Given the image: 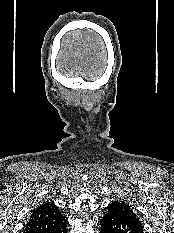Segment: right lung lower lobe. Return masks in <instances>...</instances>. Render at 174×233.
Masks as SVG:
<instances>
[{"instance_id": "right-lung-lower-lobe-1", "label": "right lung lower lobe", "mask_w": 174, "mask_h": 233, "mask_svg": "<svg viewBox=\"0 0 174 233\" xmlns=\"http://www.w3.org/2000/svg\"><path fill=\"white\" fill-rule=\"evenodd\" d=\"M67 223L60 226V227H57L51 231H48L47 233H67Z\"/></svg>"}]
</instances>
